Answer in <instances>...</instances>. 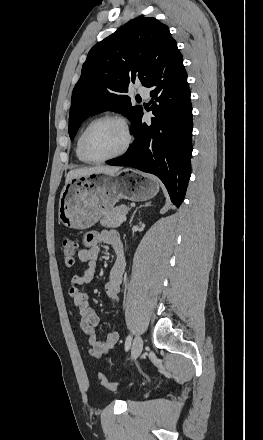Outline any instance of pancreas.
I'll return each mask as SVG.
<instances>
[{
    "label": "pancreas",
    "mask_w": 263,
    "mask_h": 440,
    "mask_svg": "<svg viewBox=\"0 0 263 440\" xmlns=\"http://www.w3.org/2000/svg\"><path fill=\"white\" fill-rule=\"evenodd\" d=\"M127 212H128V208L126 206L123 205L117 206L103 216L101 220V224L108 228L110 227L117 228L123 222L120 220V216L126 215Z\"/></svg>",
    "instance_id": "cf45deb5"
}]
</instances>
